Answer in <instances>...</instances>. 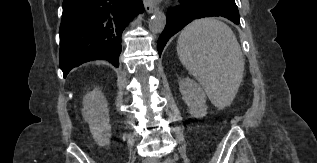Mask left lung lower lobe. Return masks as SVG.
Listing matches in <instances>:
<instances>
[{
    "label": "left lung lower lobe",
    "mask_w": 317,
    "mask_h": 163,
    "mask_svg": "<svg viewBox=\"0 0 317 163\" xmlns=\"http://www.w3.org/2000/svg\"><path fill=\"white\" fill-rule=\"evenodd\" d=\"M180 6L167 12V23L158 39L157 49L161 55L164 46L171 36L195 19L211 16L228 18L239 24V12L235 3L227 0H179Z\"/></svg>",
    "instance_id": "left-lung-lower-lobe-1"
}]
</instances>
